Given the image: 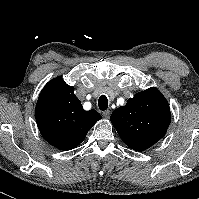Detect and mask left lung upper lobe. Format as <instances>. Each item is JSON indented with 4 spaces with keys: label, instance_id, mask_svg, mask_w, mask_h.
<instances>
[{
    "label": "left lung upper lobe",
    "instance_id": "1",
    "mask_svg": "<svg viewBox=\"0 0 199 199\" xmlns=\"http://www.w3.org/2000/svg\"><path fill=\"white\" fill-rule=\"evenodd\" d=\"M112 125L120 137L155 144L170 125V107L161 92L152 87L128 99L125 106L113 111Z\"/></svg>",
    "mask_w": 199,
    "mask_h": 199
}]
</instances>
